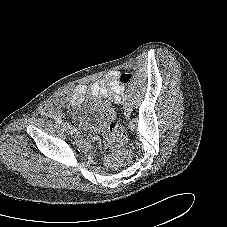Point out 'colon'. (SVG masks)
I'll return each instance as SVG.
<instances>
[{"mask_svg":"<svg viewBox=\"0 0 227 227\" xmlns=\"http://www.w3.org/2000/svg\"><path fill=\"white\" fill-rule=\"evenodd\" d=\"M131 80V75L126 72H121L119 74V83L120 85L127 84ZM112 102L110 99L105 98L99 101L98 106L102 110L106 111L107 116L109 117L108 122L110 124L109 132L111 137V144L119 157L120 164L124 167L129 166L133 161L132 153L123 148L127 140V134L124 127L119 123V119L116 116V110L114 107H111Z\"/></svg>","mask_w":227,"mask_h":227,"instance_id":"5ec220e1","label":"colon"}]
</instances>
